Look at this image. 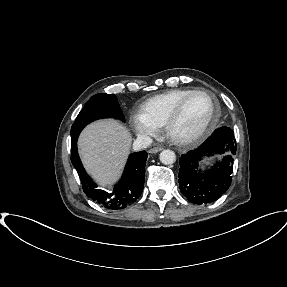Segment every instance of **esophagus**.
Masks as SVG:
<instances>
[{
  "label": "esophagus",
  "instance_id": "34e87169",
  "mask_svg": "<svg viewBox=\"0 0 287 287\" xmlns=\"http://www.w3.org/2000/svg\"><path fill=\"white\" fill-rule=\"evenodd\" d=\"M163 148L160 147V146H157V147H152L149 152L150 153H157V152H160Z\"/></svg>",
  "mask_w": 287,
  "mask_h": 287
}]
</instances>
